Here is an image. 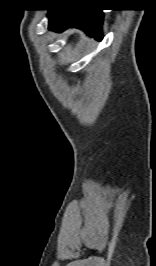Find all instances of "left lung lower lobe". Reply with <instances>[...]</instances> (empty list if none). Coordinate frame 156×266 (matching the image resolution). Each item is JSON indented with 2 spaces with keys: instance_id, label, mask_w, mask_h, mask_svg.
<instances>
[{
  "instance_id": "obj_1",
  "label": "left lung lower lobe",
  "mask_w": 156,
  "mask_h": 266,
  "mask_svg": "<svg viewBox=\"0 0 156 266\" xmlns=\"http://www.w3.org/2000/svg\"><path fill=\"white\" fill-rule=\"evenodd\" d=\"M49 28L63 31L69 27L84 30L87 35L101 39L103 12L98 9L49 10Z\"/></svg>"
}]
</instances>
